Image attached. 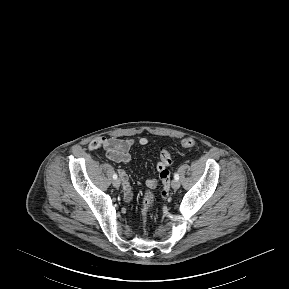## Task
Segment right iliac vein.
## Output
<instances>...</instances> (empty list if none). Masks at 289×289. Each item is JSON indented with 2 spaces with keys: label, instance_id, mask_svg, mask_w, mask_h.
<instances>
[{
  "label": "right iliac vein",
  "instance_id": "right-iliac-vein-1",
  "mask_svg": "<svg viewBox=\"0 0 289 289\" xmlns=\"http://www.w3.org/2000/svg\"><path fill=\"white\" fill-rule=\"evenodd\" d=\"M112 184L115 188H119L121 183L119 179H115Z\"/></svg>",
  "mask_w": 289,
  "mask_h": 289
}]
</instances>
